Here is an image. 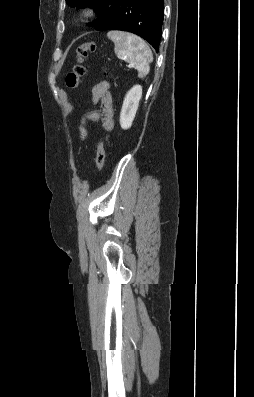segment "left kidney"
Instances as JSON below:
<instances>
[{"label": "left kidney", "instance_id": "left-kidney-1", "mask_svg": "<svg viewBox=\"0 0 254 397\" xmlns=\"http://www.w3.org/2000/svg\"><path fill=\"white\" fill-rule=\"evenodd\" d=\"M141 97V85H135L127 92L120 112V125L122 129L126 130L132 126Z\"/></svg>", "mask_w": 254, "mask_h": 397}]
</instances>
